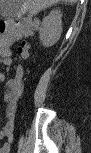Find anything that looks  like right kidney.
<instances>
[{"mask_svg":"<svg viewBox=\"0 0 91 153\" xmlns=\"http://www.w3.org/2000/svg\"><path fill=\"white\" fill-rule=\"evenodd\" d=\"M61 31L60 11L54 10L43 19L39 30V38L44 46L50 45L58 37Z\"/></svg>","mask_w":91,"mask_h":153,"instance_id":"ca27d5eb","label":"right kidney"}]
</instances>
